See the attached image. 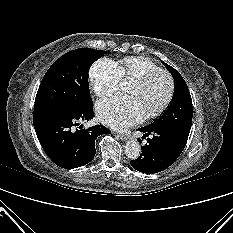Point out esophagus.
Instances as JSON below:
<instances>
[{
  "mask_svg": "<svg viewBox=\"0 0 233 233\" xmlns=\"http://www.w3.org/2000/svg\"><path fill=\"white\" fill-rule=\"evenodd\" d=\"M119 137L121 140H127L129 138V136L127 134H124V133H119Z\"/></svg>",
  "mask_w": 233,
  "mask_h": 233,
  "instance_id": "1",
  "label": "esophagus"
}]
</instances>
